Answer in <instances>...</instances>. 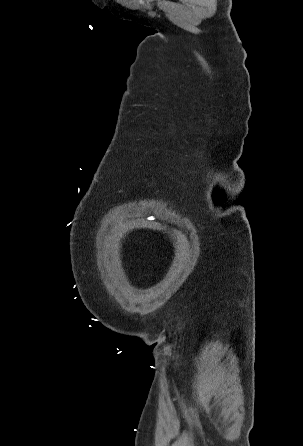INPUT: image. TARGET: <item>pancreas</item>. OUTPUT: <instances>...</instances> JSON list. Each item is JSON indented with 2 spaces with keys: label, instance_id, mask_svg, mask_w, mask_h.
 <instances>
[{
  "label": "pancreas",
  "instance_id": "obj_1",
  "mask_svg": "<svg viewBox=\"0 0 303 446\" xmlns=\"http://www.w3.org/2000/svg\"><path fill=\"white\" fill-rule=\"evenodd\" d=\"M135 7H138V4H135Z\"/></svg>",
  "mask_w": 303,
  "mask_h": 446
}]
</instances>
